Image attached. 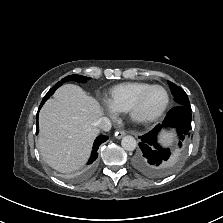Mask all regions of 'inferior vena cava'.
Segmentation results:
<instances>
[{"label": "inferior vena cava", "instance_id": "obj_1", "mask_svg": "<svg viewBox=\"0 0 223 223\" xmlns=\"http://www.w3.org/2000/svg\"><path fill=\"white\" fill-rule=\"evenodd\" d=\"M94 125L98 130L109 131L112 124L109 118L101 117L94 123Z\"/></svg>", "mask_w": 223, "mask_h": 223}]
</instances>
